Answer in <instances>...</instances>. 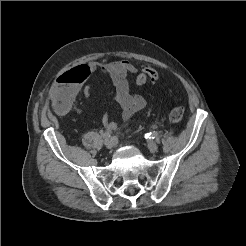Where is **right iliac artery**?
Segmentation results:
<instances>
[{"label": "right iliac artery", "instance_id": "1", "mask_svg": "<svg viewBox=\"0 0 246 246\" xmlns=\"http://www.w3.org/2000/svg\"><path fill=\"white\" fill-rule=\"evenodd\" d=\"M102 136H103V138H109L110 134H109V132H103Z\"/></svg>", "mask_w": 246, "mask_h": 246}]
</instances>
